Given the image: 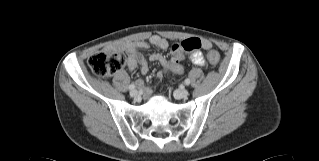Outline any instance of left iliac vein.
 I'll return each instance as SVG.
<instances>
[{
  "instance_id": "1",
  "label": "left iliac vein",
  "mask_w": 319,
  "mask_h": 161,
  "mask_svg": "<svg viewBox=\"0 0 319 161\" xmlns=\"http://www.w3.org/2000/svg\"><path fill=\"white\" fill-rule=\"evenodd\" d=\"M189 95V92L187 89H180L174 92V97L176 99H184Z\"/></svg>"
}]
</instances>
